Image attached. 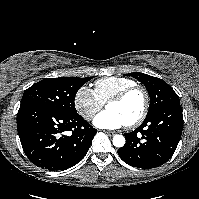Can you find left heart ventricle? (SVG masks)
<instances>
[{
  "label": "left heart ventricle",
  "instance_id": "1",
  "mask_svg": "<svg viewBox=\"0 0 199 199\" xmlns=\"http://www.w3.org/2000/svg\"><path fill=\"white\" fill-rule=\"evenodd\" d=\"M142 107L143 95L139 91H134L129 94L122 102L109 104L107 109L119 114L127 124L139 116Z\"/></svg>",
  "mask_w": 199,
  "mask_h": 199
}]
</instances>
